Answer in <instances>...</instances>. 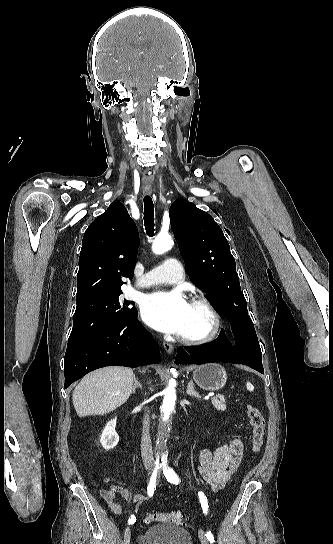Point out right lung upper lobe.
<instances>
[{
  "mask_svg": "<svg viewBox=\"0 0 333 544\" xmlns=\"http://www.w3.org/2000/svg\"><path fill=\"white\" fill-rule=\"evenodd\" d=\"M138 243L134 221L124 205L115 200L84 234L76 299L121 290L123 278L133 277Z\"/></svg>",
  "mask_w": 333,
  "mask_h": 544,
  "instance_id": "1",
  "label": "right lung upper lobe"
}]
</instances>
